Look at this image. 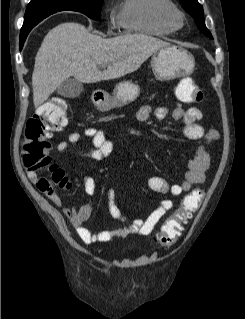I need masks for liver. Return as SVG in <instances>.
<instances>
[{
	"label": "liver",
	"instance_id": "6515ba94",
	"mask_svg": "<svg viewBox=\"0 0 245 319\" xmlns=\"http://www.w3.org/2000/svg\"><path fill=\"white\" fill-rule=\"evenodd\" d=\"M169 44L145 34L104 39L79 23H61L51 29L36 54L32 74L33 102L43 104L66 79L82 83L120 78L132 73L156 51ZM105 64L107 69L100 71Z\"/></svg>",
	"mask_w": 245,
	"mask_h": 319
}]
</instances>
